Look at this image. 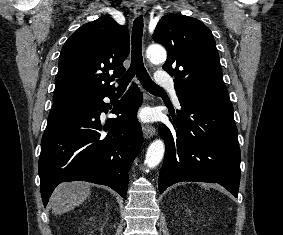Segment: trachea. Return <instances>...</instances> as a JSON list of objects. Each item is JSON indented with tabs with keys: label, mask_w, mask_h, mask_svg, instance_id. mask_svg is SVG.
<instances>
[{
	"label": "trachea",
	"mask_w": 283,
	"mask_h": 235,
	"mask_svg": "<svg viewBox=\"0 0 283 235\" xmlns=\"http://www.w3.org/2000/svg\"><path fill=\"white\" fill-rule=\"evenodd\" d=\"M143 17L140 15L134 20L132 28V53L131 64L128 71L118 80L119 90H124L129 82L136 75L143 87L150 93L164 92V90L155 84L147 73L142 59V34Z\"/></svg>",
	"instance_id": "obj_1"
}]
</instances>
